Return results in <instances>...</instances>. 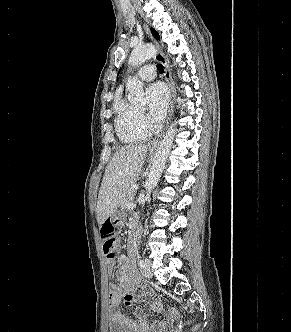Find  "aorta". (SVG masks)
<instances>
[{"label": "aorta", "mask_w": 291, "mask_h": 332, "mask_svg": "<svg viewBox=\"0 0 291 332\" xmlns=\"http://www.w3.org/2000/svg\"><path fill=\"white\" fill-rule=\"evenodd\" d=\"M156 54V49L151 44H146L143 46H139L133 49L129 57V64L138 67L142 65L145 61L151 59ZM130 96L129 100L134 104L145 105L149 102L148 97L145 95L143 91V84L140 80L134 79L129 84ZM176 124L172 123L170 128L166 132L163 140L161 141L155 156L153 158L152 166L150 168V172L145 182L146 189V198H150V194L153 189L156 187L162 171L165 167V163L169 154V151L172 147L174 136L176 133ZM142 227L137 228V237L138 239L141 237Z\"/></svg>", "instance_id": "obj_1"}]
</instances>
